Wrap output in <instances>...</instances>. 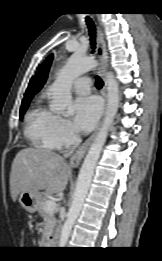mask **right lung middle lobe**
<instances>
[{
  "label": "right lung middle lobe",
  "mask_w": 162,
  "mask_h": 261,
  "mask_svg": "<svg viewBox=\"0 0 162 261\" xmlns=\"http://www.w3.org/2000/svg\"><path fill=\"white\" fill-rule=\"evenodd\" d=\"M30 101L31 100H27V101L22 102V105H21V108H20V118L23 117L25 111L27 110V108L29 106Z\"/></svg>",
  "instance_id": "obj_1"
}]
</instances>
